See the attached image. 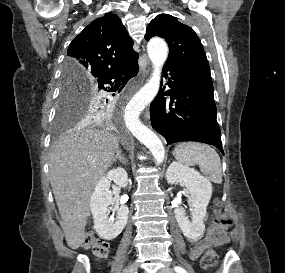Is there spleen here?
Here are the masks:
<instances>
[{"label": "spleen", "mask_w": 285, "mask_h": 273, "mask_svg": "<svg viewBox=\"0 0 285 273\" xmlns=\"http://www.w3.org/2000/svg\"><path fill=\"white\" fill-rule=\"evenodd\" d=\"M175 158L186 166L199 165L206 178L216 184L222 182L221 161L217 152L206 144L183 142L173 152Z\"/></svg>", "instance_id": "obj_1"}]
</instances>
